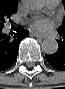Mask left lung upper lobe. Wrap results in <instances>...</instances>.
I'll return each instance as SVG.
<instances>
[{"label":"left lung upper lobe","instance_id":"obj_1","mask_svg":"<svg viewBox=\"0 0 65 89\" xmlns=\"http://www.w3.org/2000/svg\"><path fill=\"white\" fill-rule=\"evenodd\" d=\"M58 32L60 33V34H65V17H64V21H63V24L59 27V29H58Z\"/></svg>","mask_w":65,"mask_h":89}]
</instances>
